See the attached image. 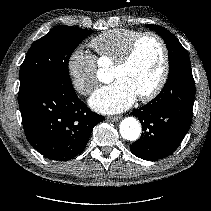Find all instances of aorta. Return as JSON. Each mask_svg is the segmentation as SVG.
<instances>
[{"mask_svg":"<svg viewBox=\"0 0 211 211\" xmlns=\"http://www.w3.org/2000/svg\"><path fill=\"white\" fill-rule=\"evenodd\" d=\"M97 77L103 83H109L111 81V75L105 68L98 70ZM120 134L126 140L136 141L141 134L140 123L133 117L123 119L120 124Z\"/></svg>","mask_w":211,"mask_h":211,"instance_id":"obj_1","label":"aorta"}]
</instances>
